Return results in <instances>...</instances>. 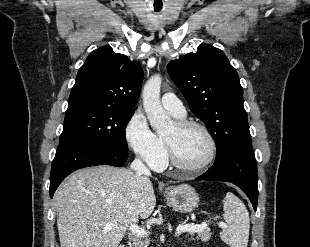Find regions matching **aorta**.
I'll list each match as a JSON object with an SVG mask.
<instances>
[{
	"mask_svg": "<svg viewBox=\"0 0 310 247\" xmlns=\"http://www.w3.org/2000/svg\"><path fill=\"white\" fill-rule=\"evenodd\" d=\"M161 82L162 79L159 75H153L146 82L142 93L143 106L149 123L157 132L167 130L171 124V119L160 102Z\"/></svg>",
	"mask_w": 310,
	"mask_h": 247,
	"instance_id": "obj_1",
	"label": "aorta"
}]
</instances>
